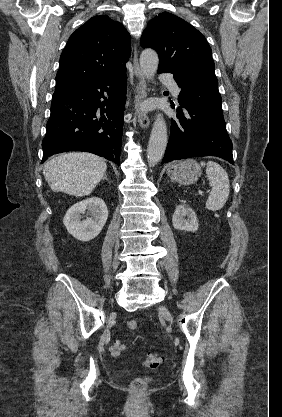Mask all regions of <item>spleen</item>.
<instances>
[{
  "instance_id": "obj_1",
  "label": "spleen",
  "mask_w": 282,
  "mask_h": 417,
  "mask_svg": "<svg viewBox=\"0 0 282 417\" xmlns=\"http://www.w3.org/2000/svg\"><path fill=\"white\" fill-rule=\"evenodd\" d=\"M200 164L201 166L206 164V174L211 186V192L208 200H206L205 209H209V211H220L230 192L228 174L225 168L221 164H218V162H214V160H209V162L201 160Z\"/></svg>"
}]
</instances>
